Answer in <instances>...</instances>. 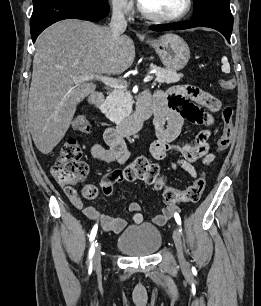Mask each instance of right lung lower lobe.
<instances>
[{
  "mask_svg": "<svg viewBox=\"0 0 261 306\" xmlns=\"http://www.w3.org/2000/svg\"><path fill=\"white\" fill-rule=\"evenodd\" d=\"M109 13L107 7L88 0H33L30 21L32 41L51 24L64 19L97 21Z\"/></svg>",
  "mask_w": 261,
  "mask_h": 306,
  "instance_id": "right-lung-lower-lobe-1",
  "label": "right lung lower lobe"
}]
</instances>
